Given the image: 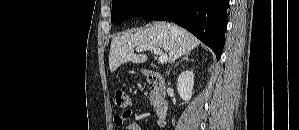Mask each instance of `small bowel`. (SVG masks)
Segmentation results:
<instances>
[{
    "mask_svg": "<svg viewBox=\"0 0 299 130\" xmlns=\"http://www.w3.org/2000/svg\"><path fill=\"white\" fill-rule=\"evenodd\" d=\"M132 111L126 110L125 112L121 114H117L114 118V122L117 126H122L126 120L131 116ZM125 129L128 130H141L140 126L137 123H130L125 126Z\"/></svg>",
    "mask_w": 299,
    "mask_h": 130,
    "instance_id": "small-bowel-1",
    "label": "small bowel"
}]
</instances>
